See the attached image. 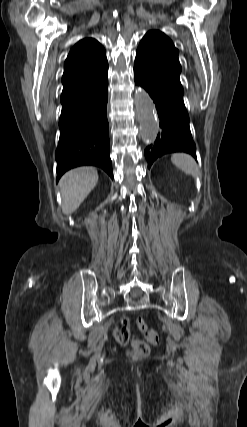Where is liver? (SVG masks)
Segmentation results:
<instances>
[{"instance_id":"1","label":"liver","mask_w":247,"mask_h":427,"mask_svg":"<svg viewBox=\"0 0 247 427\" xmlns=\"http://www.w3.org/2000/svg\"><path fill=\"white\" fill-rule=\"evenodd\" d=\"M98 182V172L93 167H79L65 173L60 180L62 211L75 212Z\"/></svg>"}]
</instances>
